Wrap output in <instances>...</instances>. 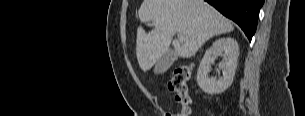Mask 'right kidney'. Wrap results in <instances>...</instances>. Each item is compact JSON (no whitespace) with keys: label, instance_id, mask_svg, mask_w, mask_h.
<instances>
[{"label":"right kidney","instance_id":"obj_1","mask_svg":"<svg viewBox=\"0 0 305 116\" xmlns=\"http://www.w3.org/2000/svg\"><path fill=\"white\" fill-rule=\"evenodd\" d=\"M218 56H223V61L219 64L223 76L210 78L211 64ZM239 56V46L235 39L224 37L217 39L205 52V55L197 71V83L207 94H218L224 92L231 86Z\"/></svg>","mask_w":305,"mask_h":116}]
</instances>
